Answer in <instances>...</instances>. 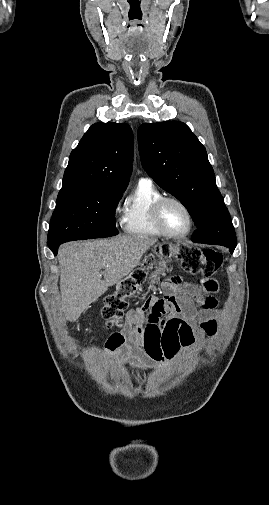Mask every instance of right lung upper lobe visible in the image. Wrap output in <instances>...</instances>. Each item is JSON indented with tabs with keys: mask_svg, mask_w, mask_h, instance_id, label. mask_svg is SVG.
Instances as JSON below:
<instances>
[{
	"mask_svg": "<svg viewBox=\"0 0 269 505\" xmlns=\"http://www.w3.org/2000/svg\"><path fill=\"white\" fill-rule=\"evenodd\" d=\"M133 133L126 123H95L71 152L62 189L125 190L132 171Z\"/></svg>",
	"mask_w": 269,
	"mask_h": 505,
	"instance_id": "cb5924a9",
	"label": "right lung upper lobe"
}]
</instances>
